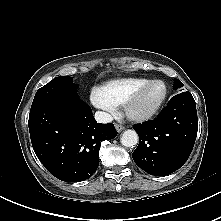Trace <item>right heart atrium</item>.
<instances>
[{"label":"right heart atrium","instance_id":"obj_1","mask_svg":"<svg viewBox=\"0 0 221 221\" xmlns=\"http://www.w3.org/2000/svg\"><path fill=\"white\" fill-rule=\"evenodd\" d=\"M91 103L102 111L105 117L110 118L116 114V106L102 93L100 88H93L90 92Z\"/></svg>","mask_w":221,"mask_h":221}]
</instances>
